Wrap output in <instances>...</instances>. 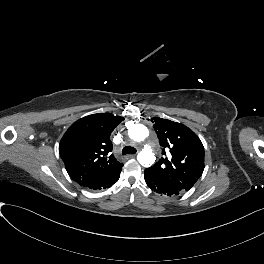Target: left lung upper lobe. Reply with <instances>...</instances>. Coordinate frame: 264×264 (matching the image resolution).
I'll list each match as a JSON object with an SVG mask.
<instances>
[{"label": "left lung upper lobe", "instance_id": "1", "mask_svg": "<svg viewBox=\"0 0 264 264\" xmlns=\"http://www.w3.org/2000/svg\"><path fill=\"white\" fill-rule=\"evenodd\" d=\"M162 157L145 174L183 193L193 187L204 170V147L199 137L183 124L154 118Z\"/></svg>", "mask_w": 264, "mask_h": 264}]
</instances>
